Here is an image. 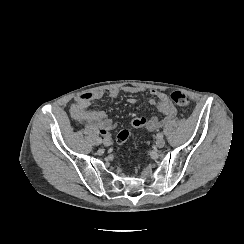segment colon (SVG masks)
Returning <instances> with one entry per match:
<instances>
[{
	"label": "colon",
	"mask_w": 244,
	"mask_h": 244,
	"mask_svg": "<svg viewBox=\"0 0 244 244\" xmlns=\"http://www.w3.org/2000/svg\"><path fill=\"white\" fill-rule=\"evenodd\" d=\"M171 101L178 107H188L191 104V100L188 95L182 91H173L170 94ZM147 123L146 117H141L133 122V127H141ZM128 130H121L116 135V140L119 145H123L127 141Z\"/></svg>",
	"instance_id": "obj_1"
}]
</instances>
